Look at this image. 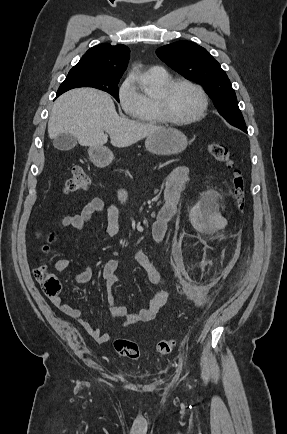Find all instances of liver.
I'll list each match as a JSON object with an SVG mask.
<instances>
[{
    "label": "liver",
    "instance_id": "6515ba94",
    "mask_svg": "<svg viewBox=\"0 0 287 434\" xmlns=\"http://www.w3.org/2000/svg\"><path fill=\"white\" fill-rule=\"evenodd\" d=\"M164 127L119 117L111 96L92 88L73 89L54 103L49 121L50 139L71 134L81 145L101 147L108 141L115 147H128Z\"/></svg>",
    "mask_w": 287,
    "mask_h": 434
}]
</instances>
